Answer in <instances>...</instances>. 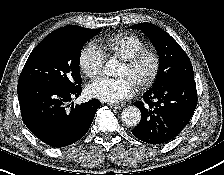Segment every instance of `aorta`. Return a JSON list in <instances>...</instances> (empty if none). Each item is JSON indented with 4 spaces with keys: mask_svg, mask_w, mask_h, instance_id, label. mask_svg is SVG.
Here are the masks:
<instances>
[{
    "mask_svg": "<svg viewBox=\"0 0 224 175\" xmlns=\"http://www.w3.org/2000/svg\"><path fill=\"white\" fill-rule=\"evenodd\" d=\"M119 67L118 60L111 58L104 66V73L108 76H116ZM121 119L127 126L137 125L141 120V112L136 106H128L123 109Z\"/></svg>",
    "mask_w": 224,
    "mask_h": 175,
    "instance_id": "762f6f07",
    "label": "aorta"
}]
</instances>
